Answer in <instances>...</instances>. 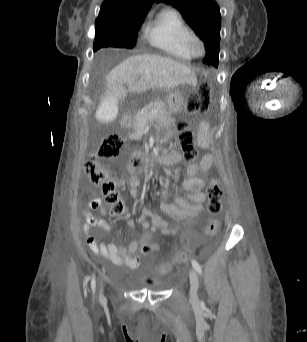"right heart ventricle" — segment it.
<instances>
[{
	"label": "right heart ventricle",
	"mask_w": 307,
	"mask_h": 342,
	"mask_svg": "<svg viewBox=\"0 0 307 342\" xmlns=\"http://www.w3.org/2000/svg\"><path fill=\"white\" fill-rule=\"evenodd\" d=\"M191 29V22L185 14L178 9H170L164 14L159 32L142 34L138 40L172 59L190 61L192 57L185 48L184 40Z\"/></svg>",
	"instance_id": "1"
}]
</instances>
